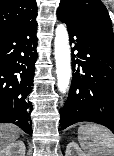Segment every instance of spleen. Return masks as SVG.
<instances>
[{"label":"spleen","mask_w":114,"mask_h":156,"mask_svg":"<svg viewBox=\"0 0 114 156\" xmlns=\"http://www.w3.org/2000/svg\"><path fill=\"white\" fill-rule=\"evenodd\" d=\"M78 140L86 156H114V134L102 125H81Z\"/></svg>","instance_id":"obj_1"}]
</instances>
